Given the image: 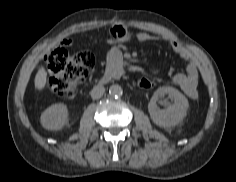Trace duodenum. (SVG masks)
<instances>
[{"mask_svg":"<svg viewBox=\"0 0 236 182\" xmlns=\"http://www.w3.org/2000/svg\"><path fill=\"white\" fill-rule=\"evenodd\" d=\"M123 73L122 71V62H114L110 64L105 70L104 74L101 77L100 83H106L110 80H113Z\"/></svg>","mask_w":236,"mask_h":182,"instance_id":"obj_1","label":"duodenum"}]
</instances>
